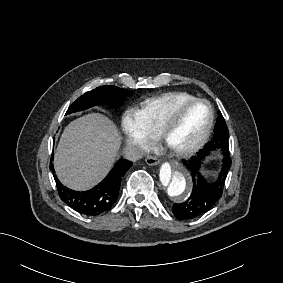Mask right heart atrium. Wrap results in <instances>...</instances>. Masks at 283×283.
Segmentation results:
<instances>
[{
  "instance_id": "d8ad5b80",
  "label": "right heart atrium",
  "mask_w": 283,
  "mask_h": 283,
  "mask_svg": "<svg viewBox=\"0 0 283 283\" xmlns=\"http://www.w3.org/2000/svg\"><path fill=\"white\" fill-rule=\"evenodd\" d=\"M124 152L134 160L140 159L151 147L153 137L137 109L127 106L121 115L117 132Z\"/></svg>"
}]
</instances>
